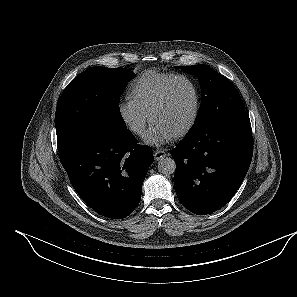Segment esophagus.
<instances>
[{
  "label": "esophagus",
  "instance_id": "1",
  "mask_svg": "<svg viewBox=\"0 0 297 297\" xmlns=\"http://www.w3.org/2000/svg\"><path fill=\"white\" fill-rule=\"evenodd\" d=\"M166 156V152L164 150H156L154 151V159L156 161Z\"/></svg>",
  "mask_w": 297,
  "mask_h": 297
}]
</instances>
